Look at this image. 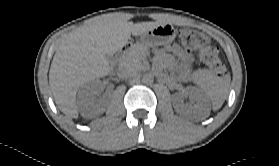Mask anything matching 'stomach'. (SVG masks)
I'll use <instances>...</instances> for the list:
<instances>
[{
  "instance_id": "obj_1",
  "label": "stomach",
  "mask_w": 279,
  "mask_h": 166,
  "mask_svg": "<svg viewBox=\"0 0 279 166\" xmlns=\"http://www.w3.org/2000/svg\"><path fill=\"white\" fill-rule=\"evenodd\" d=\"M176 37L173 26L159 24L141 35V42L146 46H160L170 44Z\"/></svg>"
}]
</instances>
